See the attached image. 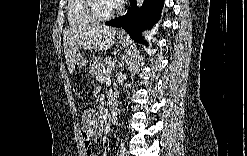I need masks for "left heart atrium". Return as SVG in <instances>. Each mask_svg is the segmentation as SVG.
Returning a JSON list of instances; mask_svg holds the SVG:
<instances>
[{
    "label": "left heart atrium",
    "mask_w": 247,
    "mask_h": 156,
    "mask_svg": "<svg viewBox=\"0 0 247 156\" xmlns=\"http://www.w3.org/2000/svg\"><path fill=\"white\" fill-rule=\"evenodd\" d=\"M117 5L123 4L125 1L124 0H115L114 1Z\"/></svg>",
    "instance_id": "39dd6f15"
}]
</instances>
